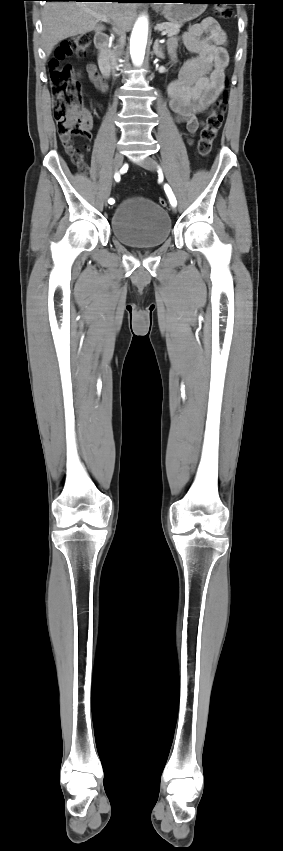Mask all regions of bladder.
Listing matches in <instances>:
<instances>
[{
	"mask_svg": "<svg viewBox=\"0 0 283 851\" xmlns=\"http://www.w3.org/2000/svg\"><path fill=\"white\" fill-rule=\"evenodd\" d=\"M111 231L121 243L152 248L164 243L171 232L167 211L154 201L133 197L119 203L111 215Z\"/></svg>",
	"mask_w": 283,
	"mask_h": 851,
	"instance_id": "31cf9c89",
	"label": "bladder"
}]
</instances>
